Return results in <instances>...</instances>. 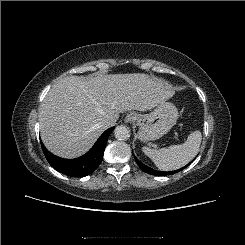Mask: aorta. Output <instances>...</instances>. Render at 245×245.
Masks as SVG:
<instances>
[{
  "label": "aorta",
  "instance_id": "1",
  "mask_svg": "<svg viewBox=\"0 0 245 245\" xmlns=\"http://www.w3.org/2000/svg\"><path fill=\"white\" fill-rule=\"evenodd\" d=\"M114 136L116 139L118 140H127L129 137H130V130L127 126L125 125H120V126H117L115 129H114Z\"/></svg>",
  "mask_w": 245,
  "mask_h": 245
}]
</instances>
